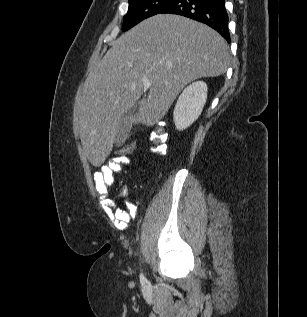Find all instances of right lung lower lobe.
<instances>
[{
  "mask_svg": "<svg viewBox=\"0 0 307 317\" xmlns=\"http://www.w3.org/2000/svg\"><path fill=\"white\" fill-rule=\"evenodd\" d=\"M160 13L181 15L205 23L230 42L225 0H173Z\"/></svg>",
  "mask_w": 307,
  "mask_h": 317,
  "instance_id": "obj_1",
  "label": "right lung lower lobe"
}]
</instances>
